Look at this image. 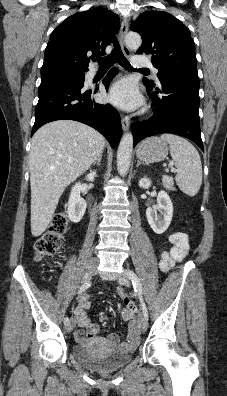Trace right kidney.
Segmentation results:
<instances>
[{
	"label": "right kidney",
	"instance_id": "obj_1",
	"mask_svg": "<svg viewBox=\"0 0 227 396\" xmlns=\"http://www.w3.org/2000/svg\"><path fill=\"white\" fill-rule=\"evenodd\" d=\"M96 171H91L87 176V181H94ZM81 184L76 183L71 190V194L68 202V217L74 222L78 223L84 216L86 210V201L80 196Z\"/></svg>",
	"mask_w": 227,
	"mask_h": 396
}]
</instances>
